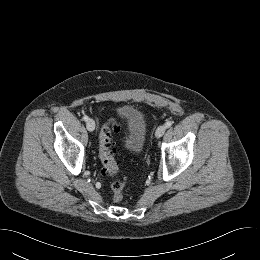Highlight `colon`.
Listing matches in <instances>:
<instances>
[{
	"mask_svg": "<svg viewBox=\"0 0 260 260\" xmlns=\"http://www.w3.org/2000/svg\"><path fill=\"white\" fill-rule=\"evenodd\" d=\"M120 129L121 125L112 119L102 127L99 136V158L104 172L109 176H116L119 173V166L113 150V134L119 132ZM125 187L126 180H118L112 183L111 190L115 202H120L123 199Z\"/></svg>",
	"mask_w": 260,
	"mask_h": 260,
	"instance_id": "1",
	"label": "colon"
}]
</instances>
